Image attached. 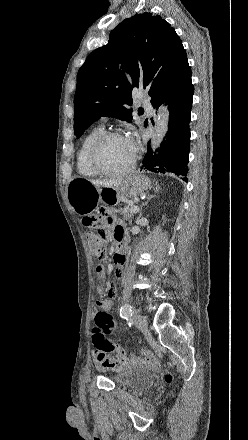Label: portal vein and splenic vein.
<instances>
[{
    "mask_svg": "<svg viewBox=\"0 0 248 440\" xmlns=\"http://www.w3.org/2000/svg\"><path fill=\"white\" fill-rule=\"evenodd\" d=\"M130 210H131L133 213H137V212L139 211V207H138L137 205H133V206L130 208Z\"/></svg>",
    "mask_w": 248,
    "mask_h": 440,
    "instance_id": "1",
    "label": "portal vein and splenic vein"
}]
</instances>
